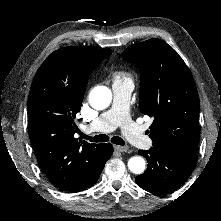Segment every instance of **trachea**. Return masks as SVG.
<instances>
[{"label":"trachea","mask_w":221,"mask_h":221,"mask_svg":"<svg viewBox=\"0 0 221 221\" xmlns=\"http://www.w3.org/2000/svg\"><path fill=\"white\" fill-rule=\"evenodd\" d=\"M80 135L82 138H85V139L93 141V142H107V141H109V137L105 134L96 135L94 137H90V136L85 135L83 133H81ZM111 142L116 145H125L124 140L118 136L112 137Z\"/></svg>","instance_id":"1"}]
</instances>
